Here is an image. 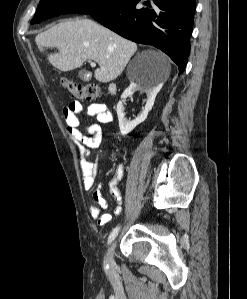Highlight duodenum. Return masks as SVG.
<instances>
[{"label":"duodenum","instance_id":"duodenum-1","mask_svg":"<svg viewBox=\"0 0 247 299\" xmlns=\"http://www.w3.org/2000/svg\"><path fill=\"white\" fill-rule=\"evenodd\" d=\"M110 92H111V93H114V92H115V87H114V86H111V87H110Z\"/></svg>","mask_w":247,"mask_h":299}]
</instances>
